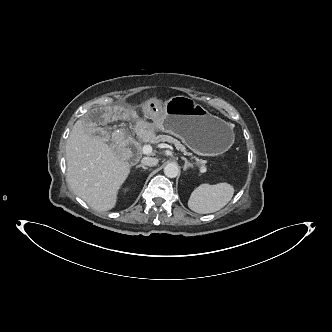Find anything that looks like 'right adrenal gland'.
<instances>
[{
	"label": "right adrenal gland",
	"mask_w": 332,
	"mask_h": 332,
	"mask_svg": "<svg viewBox=\"0 0 332 332\" xmlns=\"http://www.w3.org/2000/svg\"><path fill=\"white\" fill-rule=\"evenodd\" d=\"M140 167L143 168L144 170H148V167H146L143 164H139V165L136 166V168H140Z\"/></svg>",
	"instance_id": "right-adrenal-gland-1"
}]
</instances>
